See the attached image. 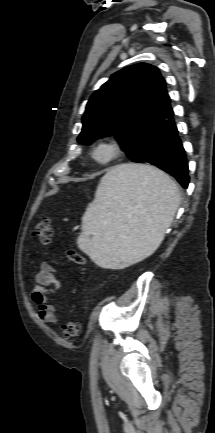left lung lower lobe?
<instances>
[{
  "mask_svg": "<svg viewBox=\"0 0 215 433\" xmlns=\"http://www.w3.org/2000/svg\"><path fill=\"white\" fill-rule=\"evenodd\" d=\"M154 165L172 175L183 188L188 187V162L174 121L166 132Z\"/></svg>",
  "mask_w": 215,
  "mask_h": 433,
  "instance_id": "1",
  "label": "left lung lower lobe"
}]
</instances>
